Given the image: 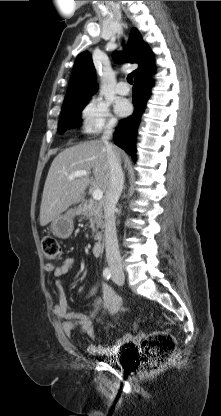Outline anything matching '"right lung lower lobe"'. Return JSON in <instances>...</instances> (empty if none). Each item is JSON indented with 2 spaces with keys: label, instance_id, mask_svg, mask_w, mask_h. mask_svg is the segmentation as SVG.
<instances>
[{
  "label": "right lung lower lobe",
  "instance_id": "obj_1",
  "mask_svg": "<svg viewBox=\"0 0 221 416\" xmlns=\"http://www.w3.org/2000/svg\"><path fill=\"white\" fill-rule=\"evenodd\" d=\"M153 71L135 78L133 87L134 113L120 123L114 134L115 144L127 151L133 159H135L136 154L135 141L140 118L145 110L146 102L153 86V80L150 77Z\"/></svg>",
  "mask_w": 221,
  "mask_h": 416
}]
</instances>
